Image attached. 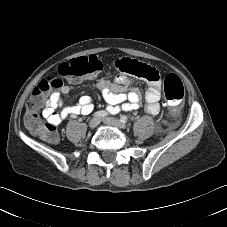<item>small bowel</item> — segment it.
Instances as JSON below:
<instances>
[{"label": "small bowel", "mask_w": 227, "mask_h": 227, "mask_svg": "<svg viewBox=\"0 0 227 227\" xmlns=\"http://www.w3.org/2000/svg\"><path fill=\"white\" fill-rule=\"evenodd\" d=\"M130 61V59L122 58L115 62L114 66L120 73L113 81L102 79L93 82V86L102 92L108 104L107 110L112 114L117 113L120 109L130 111L140 107V95L138 90L135 88L128 89L132 84V79L129 77L130 73L127 70ZM146 82L148 87L144 94L146 101L145 110L149 114L156 115L160 111V79L158 77L155 80H146ZM70 91L71 86L64 85L60 90L50 94L42 111V115L47 124L58 126L69 116L78 114L88 115L93 111L94 105L91 97L84 95L76 104L64 106L62 110L58 112L57 109L61 106V96L69 94Z\"/></svg>", "instance_id": "obj_1"}]
</instances>
